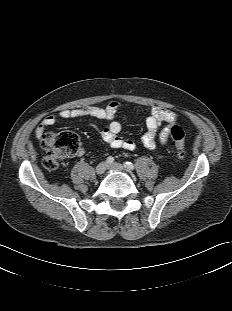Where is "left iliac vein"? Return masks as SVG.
Instances as JSON below:
<instances>
[{
  "label": "left iliac vein",
  "instance_id": "left-iliac-vein-1",
  "mask_svg": "<svg viewBox=\"0 0 232 311\" xmlns=\"http://www.w3.org/2000/svg\"><path fill=\"white\" fill-rule=\"evenodd\" d=\"M108 169L122 171L124 170V166L120 163H113V164L108 165Z\"/></svg>",
  "mask_w": 232,
  "mask_h": 311
}]
</instances>
